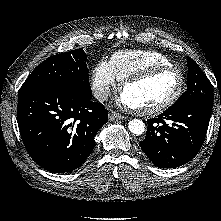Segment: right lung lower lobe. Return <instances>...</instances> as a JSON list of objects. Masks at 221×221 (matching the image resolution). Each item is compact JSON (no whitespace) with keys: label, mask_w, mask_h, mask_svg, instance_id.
I'll return each mask as SVG.
<instances>
[{"label":"right lung lower lobe","mask_w":221,"mask_h":221,"mask_svg":"<svg viewBox=\"0 0 221 221\" xmlns=\"http://www.w3.org/2000/svg\"><path fill=\"white\" fill-rule=\"evenodd\" d=\"M91 98L64 85L19 89L17 120L22 141L42 168L71 172L89 156L95 135L108 120L105 107Z\"/></svg>","instance_id":"98d812e1"}]
</instances>
